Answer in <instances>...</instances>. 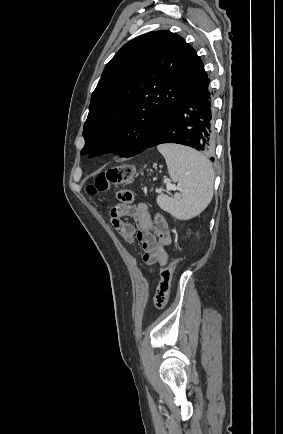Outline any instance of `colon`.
<instances>
[{
	"mask_svg": "<svg viewBox=\"0 0 283 434\" xmlns=\"http://www.w3.org/2000/svg\"><path fill=\"white\" fill-rule=\"evenodd\" d=\"M134 175L132 165H121L110 168L97 175L94 182L87 187L89 194H95L108 190L112 186H121L116 197L123 204H132L134 194L131 190L123 187L128 184ZM177 265V259L173 258L160 272V280L154 296V305L157 309L165 307L170 294L172 276Z\"/></svg>",
	"mask_w": 283,
	"mask_h": 434,
	"instance_id": "1",
	"label": "colon"
}]
</instances>
